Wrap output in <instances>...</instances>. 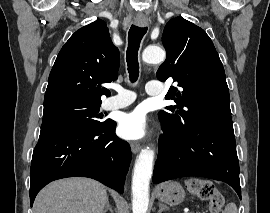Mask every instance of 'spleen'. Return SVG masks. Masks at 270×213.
Wrapping results in <instances>:
<instances>
[{
  "instance_id": "spleen-1",
  "label": "spleen",
  "mask_w": 270,
  "mask_h": 213,
  "mask_svg": "<svg viewBox=\"0 0 270 213\" xmlns=\"http://www.w3.org/2000/svg\"><path fill=\"white\" fill-rule=\"evenodd\" d=\"M223 213H237V207H236V205L234 203L228 204L225 207Z\"/></svg>"
}]
</instances>
